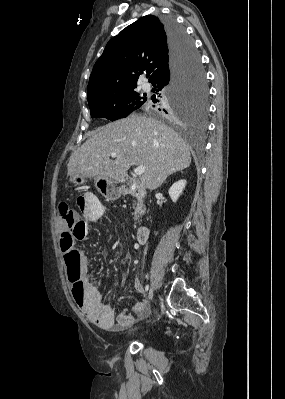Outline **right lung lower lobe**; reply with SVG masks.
<instances>
[{
    "mask_svg": "<svg viewBox=\"0 0 285 399\" xmlns=\"http://www.w3.org/2000/svg\"><path fill=\"white\" fill-rule=\"evenodd\" d=\"M163 24L169 43V63L168 67L160 71L151 83L156 87L157 92L162 90L170 92L181 80L186 68L192 62L195 47L184 28L174 20H164ZM162 105L165 108L169 102L166 101Z\"/></svg>",
    "mask_w": 285,
    "mask_h": 399,
    "instance_id": "right-lung-lower-lobe-1",
    "label": "right lung lower lobe"
}]
</instances>
